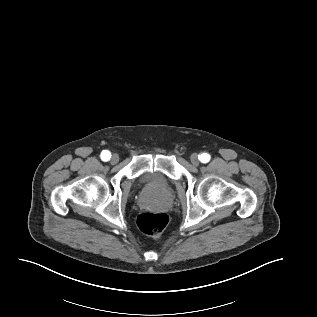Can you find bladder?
I'll use <instances>...</instances> for the list:
<instances>
[{"label": "bladder", "instance_id": "bladder-1", "mask_svg": "<svg viewBox=\"0 0 317 317\" xmlns=\"http://www.w3.org/2000/svg\"><path fill=\"white\" fill-rule=\"evenodd\" d=\"M140 183L151 188L162 190L168 187V181L157 173H145L140 178Z\"/></svg>", "mask_w": 317, "mask_h": 317}]
</instances>
